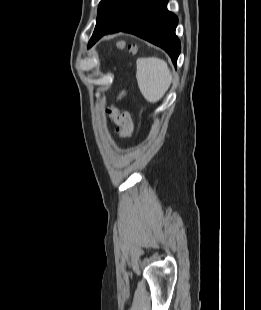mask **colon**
Segmentation results:
<instances>
[{"instance_id": "obj_1", "label": "colon", "mask_w": 261, "mask_h": 310, "mask_svg": "<svg viewBox=\"0 0 261 310\" xmlns=\"http://www.w3.org/2000/svg\"><path fill=\"white\" fill-rule=\"evenodd\" d=\"M123 46V44H121ZM131 51H134V47H130ZM126 94L122 91L119 94L118 99H121ZM106 113L113 119L117 126V133L121 137H130L133 132V125L128 112H118L114 106H111L106 110Z\"/></svg>"}]
</instances>
